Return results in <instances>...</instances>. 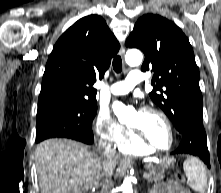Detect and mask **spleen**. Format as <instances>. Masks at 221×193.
<instances>
[{
	"mask_svg": "<svg viewBox=\"0 0 221 193\" xmlns=\"http://www.w3.org/2000/svg\"><path fill=\"white\" fill-rule=\"evenodd\" d=\"M187 177V184L192 190L205 193L207 187L206 169L203 163L195 157H189L183 164Z\"/></svg>",
	"mask_w": 221,
	"mask_h": 193,
	"instance_id": "1",
	"label": "spleen"
}]
</instances>
